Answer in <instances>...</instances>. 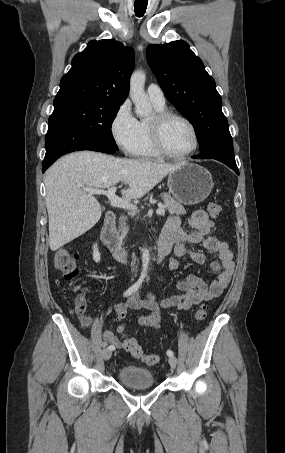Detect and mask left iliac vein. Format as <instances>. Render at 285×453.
I'll return each mask as SVG.
<instances>
[{"label": "left iliac vein", "mask_w": 285, "mask_h": 453, "mask_svg": "<svg viewBox=\"0 0 285 453\" xmlns=\"http://www.w3.org/2000/svg\"><path fill=\"white\" fill-rule=\"evenodd\" d=\"M168 362L172 368H176L177 359L175 356H169Z\"/></svg>", "instance_id": "1"}]
</instances>
